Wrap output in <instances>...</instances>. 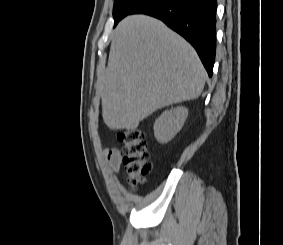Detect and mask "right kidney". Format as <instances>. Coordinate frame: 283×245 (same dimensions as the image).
<instances>
[{
    "label": "right kidney",
    "instance_id": "right-kidney-1",
    "mask_svg": "<svg viewBox=\"0 0 283 245\" xmlns=\"http://www.w3.org/2000/svg\"><path fill=\"white\" fill-rule=\"evenodd\" d=\"M188 110L185 107H177L165 111L154 123V135L158 142L167 143L181 130Z\"/></svg>",
    "mask_w": 283,
    "mask_h": 245
}]
</instances>
